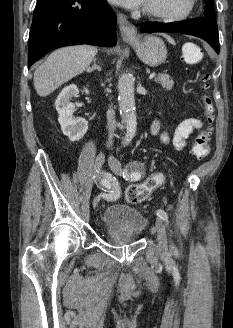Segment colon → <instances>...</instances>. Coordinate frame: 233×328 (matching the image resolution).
Here are the masks:
<instances>
[{"label": "colon", "instance_id": "colon-1", "mask_svg": "<svg viewBox=\"0 0 233 328\" xmlns=\"http://www.w3.org/2000/svg\"><path fill=\"white\" fill-rule=\"evenodd\" d=\"M203 54V50L194 44H190L184 48V58L189 62L200 60L203 57ZM208 80V75H203L201 77L200 89L202 91H205L208 88ZM202 100L204 105L206 128L196 136L191 144L190 149L191 154L198 159H203L209 154L210 127L214 119V109L211 99L203 94ZM162 182V175L154 174L146 178L141 183L131 185L126 190V200L131 204H138L144 201L155 189H157L162 184Z\"/></svg>", "mask_w": 233, "mask_h": 328}]
</instances>
